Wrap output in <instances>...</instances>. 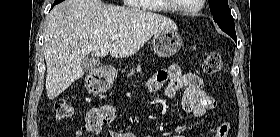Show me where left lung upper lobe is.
Wrapping results in <instances>:
<instances>
[{"mask_svg":"<svg viewBox=\"0 0 280 137\" xmlns=\"http://www.w3.org/2000/svg\"><path fill=\"white\" fill-rule=\"evenodd\" d=\"M210 11L214 21L220 29L237 40L233 17L231 15L228 0H209Z\"/></svg>","mask_w":280,"mask_h":137,"instance_id":"left-lung-upper-lobe-1","label":"left lung upper lobe"}]
</instances>
